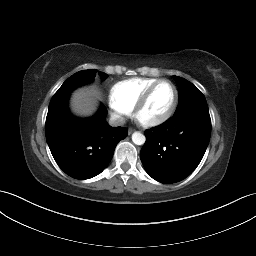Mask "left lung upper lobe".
Wrapping results in <instances>:
<instances>
[{"instance_id":"obj_1","label":"left lung upper lobe","mask_w":256,"mask_h":256,"mask_svg":"<svg viewBox=\"0 0 256 256\" xmlns=\"http://www.w3.org/2000/svg\"><path fill=\"white\" fill-rule=\"evenodd\" d=\"M173 78L179 90V103L174 115L191 109L209 112L206 99L200 90L184 78L178 76Z\"/></svg>"}]
</instances>
